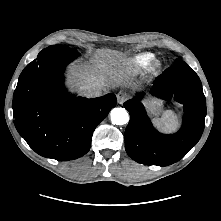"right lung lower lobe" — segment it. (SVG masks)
Listing matches in <instances>:
<instances>
[{"label": "right lung lower lobe", "mask_w": 221, "mask_h": 221, "mask_svg": "<svg viewBox=\"0 0 221 221\" xmlns=\"http://www.w3.org/2000/svg\"><path fill=\"white\" fill-rule=\"evenodd\" d=\"M78 55L42 50L22 71L13 96L19 134L36 153L58 161L87 153L95 128L116 105L114 94L87 99L67 93L63 72Z\"/></svg>", "instance_id": "obj_1"}]
</instances>
